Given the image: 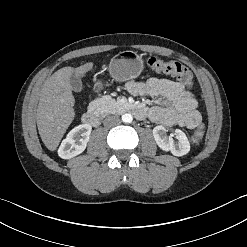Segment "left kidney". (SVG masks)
<instances>
[{"label":"left kidney","mask_w":247,"mask_h":247,"mask_svg":"<svg viewBox=\"0 0 247 247\" xmlns=\"http://www.w3.org/2000/svg\"><path fill=\"white\" fill-rule=\"evenodd\" d=\"M153 136L156 144L163 151H170L175 156H182L190 151V143L187 136L180 129H176L171 135L166 134L163 126H156L153 129ZM175 136L176 141L173 139Z\"/></svg>","instance_id":"left-kidney-1"}]
</instances>
